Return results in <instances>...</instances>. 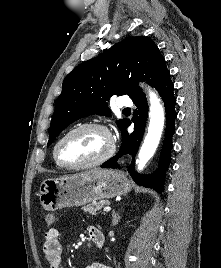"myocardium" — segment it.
Instances as JSON below:
<instances>
[{
  "label": "myocardium",
  "instance_id": "f54148a6",
  "mask_svg": "<svg viewBox=\"0 0 221 268\" xmlns=\"http://www.w3.org/2000/svg\"><path fill=\"white\" fill-rule=\"evenodd\" d=\"M82 129H98L103 131L109 138L110 140V146L109 149L107 150V152L105 154H103L101 157L89 161V162H85L82 164H67L65 162H63L59 156V148L61 146V144L63 143V141L70 136L71 134L82 130ZM115 153V142L113 140V137L109 131V129L100 123H95V122H88V123H82L79 124L75 127H73L72 129H70L69 131H67L55 144L54 150H53V156L54 159L56 161V163L66 169H84V168H89V167H93V166H97L100 165L104 162H106L107 160H109Z\"/></svg>",
  "mask_w": 221,
  "mask_h": 268
}]
</instances>
